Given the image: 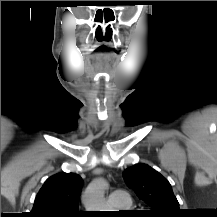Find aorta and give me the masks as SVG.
Listing matches in <instances>:
<instances>
[{
  "label": "aorta",
  "mask_w": 217,
  "mask_h": 217,
  "mask_svg": "<svg viewBox=\"0 0 217 217\" xmlns=\"http://www.w3.org/2000/svg\"><path fill=\"white\" fill-rule=\"evenodd\" d=\"M107 183L104 179L93 180L86 188L82 202L87 211H109L104 198Z\"/></svg>",
  "instance_id": "aorta-1"
}]
</instances>
